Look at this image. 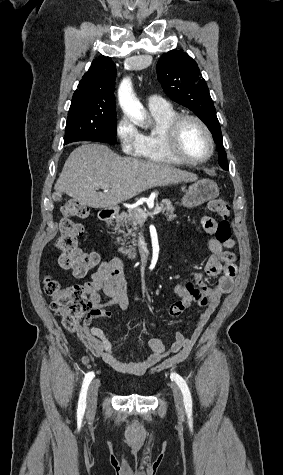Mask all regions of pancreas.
I'll return each mask as SVG.
<instances>
[{"label": "pancreas", "instance_id": "cf45deb5", "mask_svg": "<svg viewBox=\"0 0 283 475\" xmlns=\"http://www.w3.org/2000/svg\"><path fill=\"white\" fill-rule=\"evenodd\" d=\"M157 208H162L161 212H166L165 216H167L168 222L176 218L174 214L175 208L172 206L170 200H162V202L157 204ZM142 212V208H132V210H127V212H122L120 216H116L115 230L121 232V228H126L128 232L126 236H132L133 245H137V243H135L137 239L135 238H137L139 220H146V218H143ZM128 243H130V241H128ZM122 245H124V247H119V251H122V253H135L136 247H133V245H125V243H122Z\"/></svg>", "mask_w": 283, "mask_h": 475}]
</instances>
